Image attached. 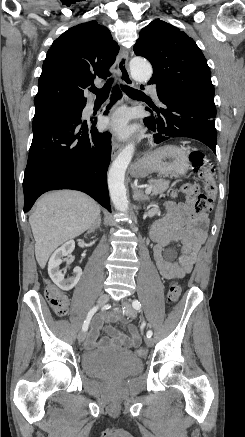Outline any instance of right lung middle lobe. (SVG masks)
Listing matches in <instances>:
<instances>
[{"mask_svg":"<svg viewBox=\"0 0 245 437\" xmlns=\"http://www.w3.org/2000/svg\"><path fill=\"white\" fill-rule=\"evenodd\" d=\"M84 105L76 104H55L35 110L32 129L35 130L50 119L57 117H68L72 114H81Z\"/></svg>","mask_w":245,"mask_h":437,"instance_id":"obj_1","label":"right lung middle lobe"}]
</instances>
